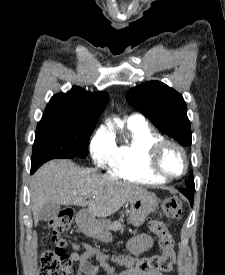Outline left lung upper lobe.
Returning <instances> with one entry per match:
<instances>
[{
	"label": "left lung upper lobe",
	"mask_w": 225,
	"mask_h": 275,
	"mask_svg": "<svg viewBox=\"0 0 225 275\" xmlns=\"http://www.w3.org/2000/svg\"><path fill=\"white\" fill-rule=\"evenodd\" d=\"M126 99L164 134L190 146L192 133L186 103L181 94L160 81H149L130 89ZM195 188L193 175L186 182Z\"/></svg>",
	"instance_id": "left-lung-upper-lobe-1"
}]
</instances>
